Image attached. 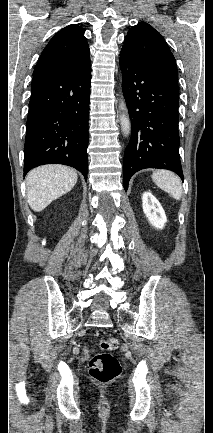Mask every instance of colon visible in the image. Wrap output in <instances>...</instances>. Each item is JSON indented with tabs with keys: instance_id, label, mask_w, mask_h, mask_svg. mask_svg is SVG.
Segmentation results:
<instances>
[{
	"instance_id": "5ec220e1",
	"label": "colon",
	"mask_w": 213,
	"mask_h": 433,
	"mask_svg": "<svg viewBox=\"0 0 213 433\" xmlns=\"http://www.w3.org/2000/svg\"><path fill=\"white\" fill-rule=\"evenodd\" d=\"M116 338L102 339L99 348L102 353L94 355L89 361V374L98 383L107 384L117 379L122 371L119 360L110 352L118 348Z\"/></svg>"
}]
</instances>
